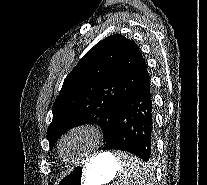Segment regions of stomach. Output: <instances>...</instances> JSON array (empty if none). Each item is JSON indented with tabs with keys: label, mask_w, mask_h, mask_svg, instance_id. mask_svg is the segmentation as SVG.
<instances>
[{
	"label": "stomach",
	"mask_w": 207,
	"mask_h": 185,
	"mask_svg": "<svg viewBox=\"0 0 207 185\" xmlns=\"http://www.w3.org/2000/svg\"><path fill=\"white\" fill-rule=\"evenodd\" d=\"M120 164L110 152L100 153L88 162L75 166L58 185H106L119 171Z\"/></svg>",
	"instance_id": "0dacf381"
}]
</instances>
